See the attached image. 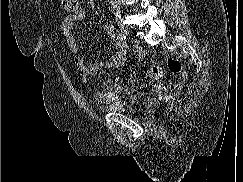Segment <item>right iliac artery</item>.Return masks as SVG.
Returning a JSON list of instances; mask_svg holds the SVG:
<instances>
[{
  "mask_svg": "<svg viewBox=\"0 0 243 182\" xmlns=\"http://www.w3.org/2000/svg\"><path fill=\"white\" fill-rule=\"evenodd\" d=\"M117 38H118L119 40H121V41H125V40H126V35H124V34H118V35H117Z\"/></svg>",
  "mask_w": 243,
  "mask_h": 182,
  "instance_id": "right-iliac-artery-1",
  "label": "right iliac artery"
}]
</instances>
